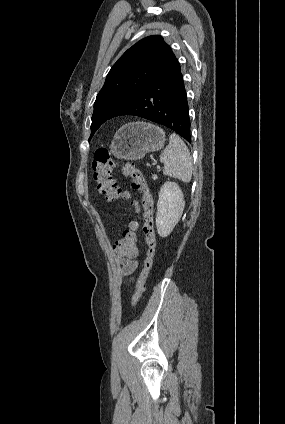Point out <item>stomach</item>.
<instances>
[{"instance_id":"0dacf381","label":"stomach","mask_w":285,"mask_h":424,"mask_svg":"<svg viewBox=\"0 0 285 424\" xmlns=\"http://www.w3.org/2000/svg\"><path fill=\"white\" fill-rule=\"evenodd\" d=\"M165 132L150 123L135 122L123 125L115 134L110 153L126 160L142 159L148 152L160 150Z\"/></svg>"}]
</instances>
